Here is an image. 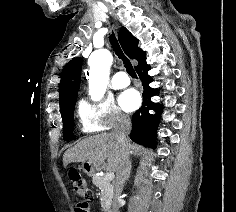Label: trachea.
I'll return each mask as SVG.
<instances>
[{
  "label": "trachea",
  "mask_w": 236,
  "mask_h": 212,
  "mask_svg": "<svg viewBox=\"0 0 236 212\" xmlns=\"http://www.w3.org/2000/svg\"><path fill=\"white\" fill-rule=\"evenodd\" d=\"M110 43L112 45V48L115 52V54L118 56L119 59H121L125 65L126 71L127 73L133 77V78H137L136 72L130 62V60L125 56V54L123 53L118 40L114 34V32H112L111 36H110Z\"/></svg>",
  "instance_id": "3493384b"
}]
</instances>
